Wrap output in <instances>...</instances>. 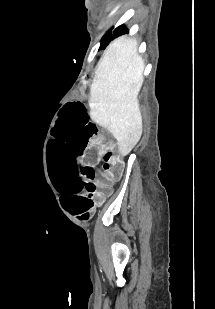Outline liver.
<instances>
[{"mask_svg": "<svg viewBox=\"0 0 215 309\" xmlns=\"http://www.w3.org/2000/svg\"><path fill=\"white\" fill-rule=\"evenodd\" d=\"M145 62L136 38L119 36L100 58L90 86L89 106L117 140L121 155H128L141 138L143 124L138 94Z\"/></svg>", "mask_w": 215, "mask_h": 309, "instance_id": "obj_1", "label": "liver"}]
</instances>
